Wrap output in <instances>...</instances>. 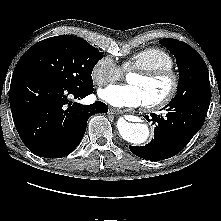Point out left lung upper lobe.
<instances>
[{"label":"left lung upper lobe","instance_id":"5c2ea615","mask_svg":"<svg viewBox=\"0 0 221 221\" xmlns=\"http://www.w3.org/2000/svg\"><path fill=\"white\" fill-rule=\"evenodd\" d=\"M159 42L174 54L180 73L178 91L170 103L184 102L201 93L210 92L208 69L196 50L176 39L166 38Z\"/></svg>","mask_w":221,"mask_h":221}]
</instances>
